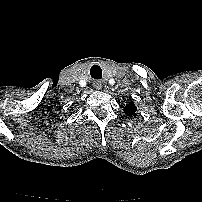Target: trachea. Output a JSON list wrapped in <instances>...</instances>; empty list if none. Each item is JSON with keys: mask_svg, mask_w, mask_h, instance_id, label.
I'll list each match as a JSON object with an SVG mask.
<instances>
[{"mask_svg": "<svg viewBox=\"0 0 202 202\" xmlns=\"http://www.w3.org/2000/svg\"><path fill=\"white\" fill-rule=\"evenodd\" d=\"M90 75L94 79L102 78V70L98 65H93L90 69Z\"/></svg>", "mask_w": 202, "mask_h": 202, "instance_id": "obj_1", "label": "trachea"}]
</instances>
